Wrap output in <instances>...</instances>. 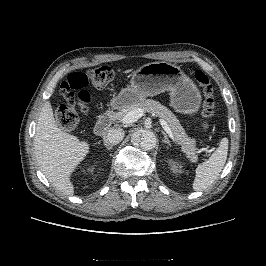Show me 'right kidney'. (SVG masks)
<instances>
[{"label":"right kidney","instance_id":"right-kidney-1","mask_svg":"<svg viewBox=\"0 0 266 266\" xmlns=\"http://www.w3.org/2000/svg\"><path fill=\"white\" fill-rule=\"evenodd\" d=\"M88 170H89L90 172H93L94 167H91V168H89Z\"/></svg>","mask_w":266,"mask_h":266}]
</instances>
